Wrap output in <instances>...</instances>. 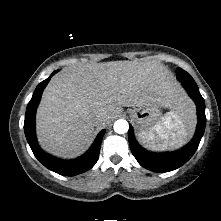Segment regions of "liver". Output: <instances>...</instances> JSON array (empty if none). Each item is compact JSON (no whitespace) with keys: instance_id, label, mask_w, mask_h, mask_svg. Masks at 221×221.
Instances as JSON below:
<instances>
[{"instance_id":"6515ba94","label":"liver","mask_w":221,"mask_h":221,"mask_svg":"<svg viewBox=\"0 0 221 221\" xmlns=\"http://www.w3.org/2000/svg\"><path fill=\"white\" fill-rule=\"evenodd\" d=\"M159 103L175 112L193 104L169 70L156 63L112 61L71 66L45 88L36 113L41 147L64 159L83 154L94 140L95 127L116 118L121 107ZM103 114L105 121L96 122Z\"/></svg>"}]
</instances>
